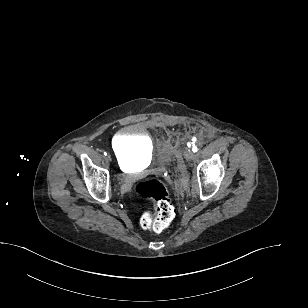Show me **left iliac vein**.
I'll list each match as a JSON object with an SVG mask.
<instances>
[{
	"label": "left iliac vein",
	"instance_id": "left-iliac-vein-1",
	"mask_svg": "<svg viewBox=\"0 0 308 308\" xmlns=\"http://www.w3.org/2000/svg\"><path fill=\"white\" fill-rule=\"evenodd\" d=\"M184 158L187 161H191L194 158V152L190 149L184 151Z\"/></svg>",
	"mask_w": 308,
	"mask_h": 308
}]
</instances>
